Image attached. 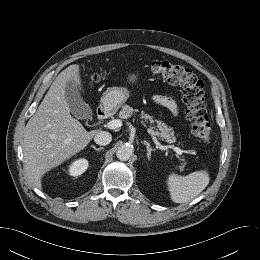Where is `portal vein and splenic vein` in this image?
<instances>
[{
	"mask_svg": "<svg viewBox=\"0 0 260 260\" xmlns=\"http://www.w3.org/2000/svg\"><path fill=\"white\" fill-rule=\"evenodd\" d=\"M106 126H107L108 129L119 128V127L122 126V120H120V119L112 120V121L108 122L106 124ZM149 132H150V130H149ZM170 148H172L177 153V155H182V153H183V151L180 148H178V147L170 146Z\"/></svg>",
	"mask_w": 260,
	"mask_h": 260,
	"instance_id": "18ae733b",
	"label": "portal vein and splenic vein"
}]
</instances>
